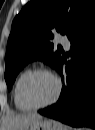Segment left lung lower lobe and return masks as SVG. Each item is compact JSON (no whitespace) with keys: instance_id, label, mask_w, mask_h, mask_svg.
Instances as JSON below:
<instances>
[{"instance_id":"obj_1","label":"left lung lower lobe","mask_w":95,"mask_h":130,"mask_svg":"<svg viewBox=\"0 0 95 130\" xmlns=\"http://www.w3.org/2000/svg\"><path fill=\"white\" fill-rule=\"evenodd\" d=\"M72 48L59 100L41 115L73 127H95V12L69 38ZM64 58L56 70L62 74Z\"/></svg>"}]
</instances>
